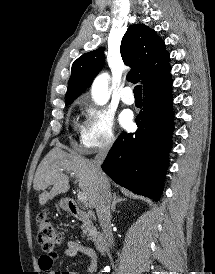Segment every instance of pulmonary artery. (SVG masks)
<instances>
[{
    "instance_id": "obj_1",
    "label": "pulmonary artery",
    "mask_w": 215,
    "mask_h": 274,
    "mask_svg": "<svg viewBox=\"0 0 215 274\" xmlns=\"http://www.w3.org/2000/svg\"><path fill=\"white\" fill-rule=\"evenodd\" d=\"M120 98L123 103L132 105L135 102L131 87H124L120 92Z\"/></svg>"
}]
</instances>
